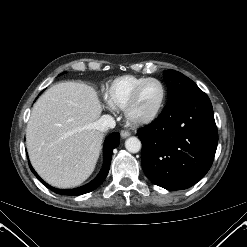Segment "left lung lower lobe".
I'll list each match as a JSON object with an SVG mask.
<instances>
[{"mask_svg": "<svg viewBox=\"0 0 247 247\" xmlns=\"http://www.w3.org/2000/svg\"><path fill=\"white\" fill-rule=\"evenodd\" d=\"M137 133L144 173L167 190L186 189L201 180L218 144L212 104L201 89L173 96L159 117Z\"/></svg>", "mask_w": 247, "mask_h": 247, "instance_id": "1", "label": "left lung lower lobe"}]
</instances>
